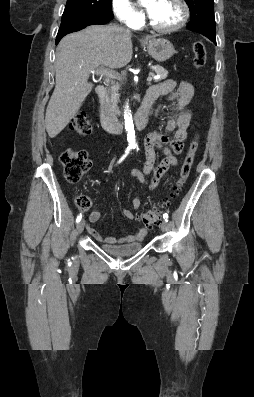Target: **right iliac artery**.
<instances>
[{"instance_id": "right-iliac-artery-1", "label": "right iliac artery", "mask_w": 254, "mask_h": 397, "mask_svg": "<svg viewBox=\"0 0 254 397\" xmlns=\"http://www.w3.org/2000/svg\"><path fill=\"white\" fill-rule=\"evenodd\" d=\"M125 153H126V154L120 159V161H122V160L126 157V155L129 153V148L126 150ZM81 218H82V215L79 214V215L77 216V218H76V222H80Z\"/></svg>"}]
</instances>
